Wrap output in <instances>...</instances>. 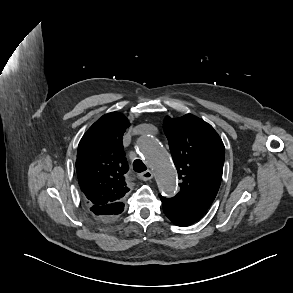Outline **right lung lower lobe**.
Masks as SVG:
<instances>
[{"label": "right lung lower lobe", "mask_w": 293, "mask_h": 293, "mask_svg": "<svg viewBox=\"0 0 293 293\" xmlns=\"http://www.w3.org/2000/svg\"><path fill=\"white\" fill-rule=\"evenodd\" d=\"M124 210V204L114 203L102 206H92L90 211L94 216H97L102 221H111Z\"/></svg>", "instance_id": "98d812e1"}]
</instances>
